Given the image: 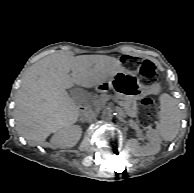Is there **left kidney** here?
Masks as SVG:
<instances>
[{"mask_svg":"<svg viewBox=\"0 0 194 193\" xmlns=\"http://www.w3.org/2000/svg\"><path fill=\"white\" fill-rule=\"evenodd\" d=\"M146 136L149 142L144 147L139 146L136 139H130L128 141L127 145L134 156L141 157L155 155L160 151L161 138L158 133L155 130L150 129L146 132Z\"/></svg>","mask_w":194,"mask_h":193,"instance_id":"obj_1","label":"left kidney"}]
</instances>
